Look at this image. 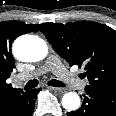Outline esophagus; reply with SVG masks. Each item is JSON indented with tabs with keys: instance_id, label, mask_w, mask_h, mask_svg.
Listing matches in <instances>:
<instances>
[{
	"instance_id": "34e87169",
	"label": "esophagus",
	"mask_w": 116,
	"mask_h": 116,
	"mask_svg": "<svg viewBox=\"0 0 116 116\" xmlns=\"http://www.w3.org/2000/svg\"><path fill=\"white\" fill-rule=\"evenodd\" d=\"M50 90H53L56 93L62 94L66 92V89L64 88H59V87H48Z\"/></svg>"
}]
</instances>
